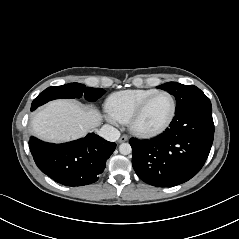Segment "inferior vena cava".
Returning a JSON list of instances; mask_svg holds the SVG:
<instances>
[{"label":"inferior vena cava","mask_w":239,"mask_h":239,"mask_svg":"<svg viewBox=\"0 0 239 239\" xmlns=\"http://www.w3.org/2000/svg\"><path fill=\"white\" fill-rule=\"evenodd\" d=\"M99 135L107 141L115 142L120 137V132L111 125H104L99 131Z\"/></svg>","instance_id":"obj_1"}]
</instances>
